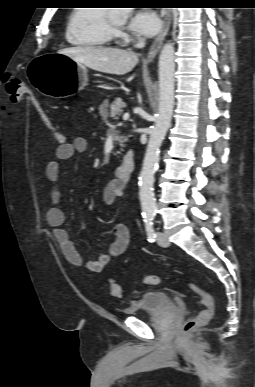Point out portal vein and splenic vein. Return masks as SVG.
Returning a JSON list of instances; mask_svg holds the SVG:
<instances>
[{
	"mask_svg": "<svg viewBox=\"0 0 255 387\" xmlns=\"http://www.w3.org/2000/svg\"><path fill=\"white\" fill-rule=\"evenodd\" d=\"M129 118V113H125L124 115H123V119L124 120H127Z\"/></svg>",
	"mask_w": 255,
	"mask_h": 387,
	"instance_id": "18ae733b",
	"label": "portal vein and splenic vein"
}]
</instances>
